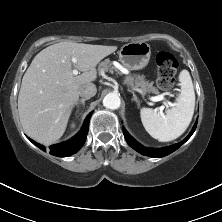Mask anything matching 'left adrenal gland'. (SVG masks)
<instances>
[{"label":"left adrenal gland","mask_w":222,"mask_h":222,"mask_svg":"<svg viewBox=\"0 0 222 222\" xmlns=\"http://www.w3.org/2000/svg\"><path fill=\"white\" fill-rule=\"evenodd\" d=\"M129 91L133 94L132 101H135V102L137 103V105L139 106L140 101H139V99L137 98L136 94H135L133 91H131V90H129Z\"/></svg>","instance_id":"obj_1"}]
</instances>
